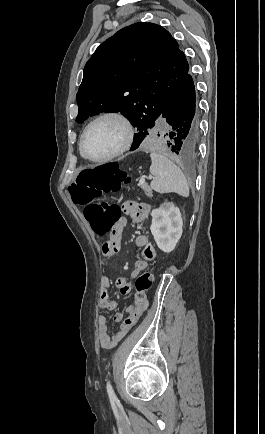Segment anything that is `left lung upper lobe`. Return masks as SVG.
<instances>
[{
    "mask_svg": "<svg viewBox=\"0 0 265 434\" xmlns=\"http://www.w3.org/2000/svg\"><path fill=\"white\" fill-rule=\"evenodd\" d=\"M188 71L184 53L163 27L144 22L125 27L86 63L76 121L120 111L138 130L151 128Z\"/></svg>",
    "mask_w": 265,
    "mask_h": 434,
    "instance_id": "5c2ea615",
    "label": "left lung upper lobe"
}]
</instances>
